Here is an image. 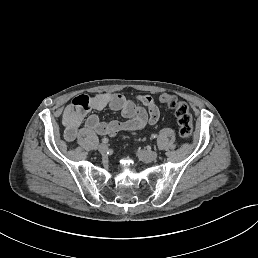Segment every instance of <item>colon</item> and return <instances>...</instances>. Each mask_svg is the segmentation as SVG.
<instances>
[{
    "label": "colon",
    "mask_w": 258,
    "mask_h": 258,
    "mask_svg": "<svg viewBox=\"0 0 258 258\" xmlns=\"http://www.w3.org/2000/svg\"><path fill=\"white\" fill-rule=\"evenodd\" d=\"M160 101L174 111L180 136L190 138L193 134L194 125L188 104L171 94L161 95Z\"/></svg>",
    "instance_id": "colon-1"
}]
</instances>
